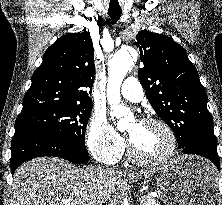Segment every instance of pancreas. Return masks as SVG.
Listing matches in <instances>:
<instances>
[{"label":"pancreas","instance_id":"1","mask_svg":"<svg viewBox=\"0 0 222 205\" xmlns=\"http://www.w3.org/2000/svg\"><path fill=\"white\" fill-rule=\"evenodd\" d=\"M140 205H161L157 198L152 196H143L140 198Z\"/></svg>","mask_w":222,"mask_h":205}]
</instances>
